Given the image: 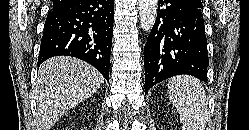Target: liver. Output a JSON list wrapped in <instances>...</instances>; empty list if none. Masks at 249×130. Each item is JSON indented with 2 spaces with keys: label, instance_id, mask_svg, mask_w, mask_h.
<instances>
[{
  "label": "liver",
  "instance_id": "obj_1",
  "mask_svg": "<svg viewBox=\"0 0 249 130\" xmlns=\"http://www.w3.org/2000/svg\"><path fill=\"white\" fill-rule=\"evenodd\" d=\"M38 73L37 122L41 130H50L68 110L94 94L104 81L93 66L72 57L50 58Z\"/></svg>",
  "mask_w": 249,
  "mask_h": 130
}]
</instances>
